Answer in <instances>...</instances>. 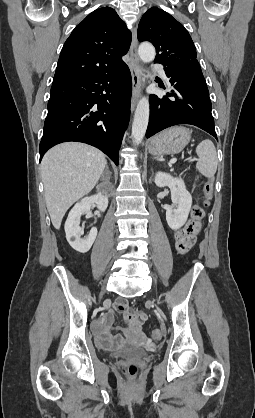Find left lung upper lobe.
Returning <instances> with one entry per match:
<instances>
[{
    "instance_id": "left-lung-upper-lobe-1",
    "label": "left lung upper lobe",
    "mask_w": 255,
    "mask_h": 418,
    "mask_svg": "<svg viewBox=\"0 0 255 418\" xmlns=\"http://www.w3.org/2000/svg\"><path fill=\"white\" fill-rule=\"evenodd\" d=\"M137 37L156 48L155 63L164 67L198 62L194 43L184 26L167 12L150 8L141 18Z\"/></svg>"
}]
</instances>
